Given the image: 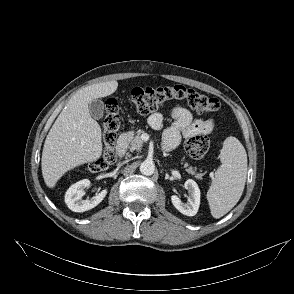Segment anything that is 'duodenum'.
<instances>
[{
    "label": "duodenum",
    "instance_id": "obj_1",
    "mask_svg": "<svg viewBox=\"0 0 294 294\" xmlns=\"http://www.w3.org/2000/svg\"><path fill=\"white\" fill-rule=\"evenodd\" d=\"M129 137L126 132L122 133L116 142V153L120 157H126Z\"/></svg>",
    "mask_w": 294,
    "mask_h": 294
}]
</instances>
